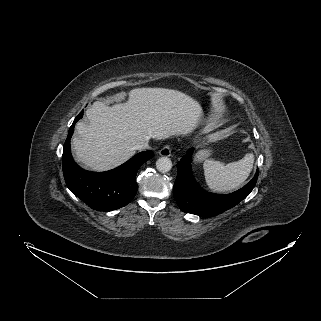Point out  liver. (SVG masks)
Masks as SVG:
<instances>
[{
    "instance_id": "1",
    "label": "liver",
    "mask_w": 321,
    "mask_h": 321,
    "mask_svg": "<svg viewBox=\"0 0 321 321\" xmlns=\"http://www.w3.org/2000/svg\"><path fill=\"white\" fill-rule=\"evenodd\" d=\"M89 124L78 122L72 146L76 159L95 171L119 166L135 146L191 133L203 116L189 95L166 88H135L128 101L109 107L96 101L86 111Z\"/></svg>"
}]
</instances>
